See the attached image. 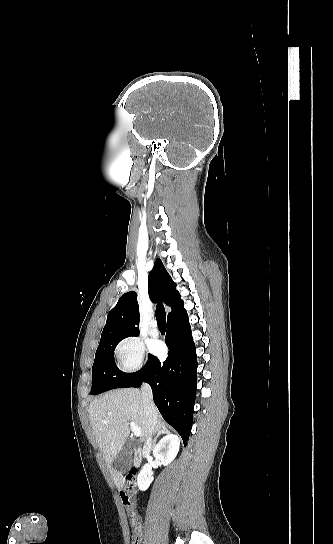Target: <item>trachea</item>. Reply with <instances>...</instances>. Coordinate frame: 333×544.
<instances>
[{
	"label": "trachea",
	"instance_id": "3493384b",
	"mask_svg": "<svg viewBox=\"0 0 333 544\" xmlns=\"http://www.w3.org/2000/svg\"><path fill=\"white\" fill-rule=\"evenodd\" d=\"M155 316L159 329H166V312L164 306L159 303L156 307Z\"/></svg>",
	"mask_w": 333,
	"mask_h": 544
}]
</instances>
